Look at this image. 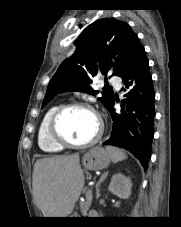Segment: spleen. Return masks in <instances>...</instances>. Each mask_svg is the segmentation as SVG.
I'll return each instance as SVG.
<instances>
[{
	"label": "spleen",
	"instance_id": "3e777b00",
	"mask_svg": "<svg viewBox=\"0 0 181 227\" xmlns=\"http://www.w3.org/2000/svg\"><path fill=\"white\" fill-rule=\"evenodd\" d=\"M106 150L110 154L111 160L114 163L125 160L127 158V155L125 154V152H123L121 149L117 147L107 146Z\"/></svg>",
	"mask_w": 181,
	"mask_h": 227
}]
</instances>
